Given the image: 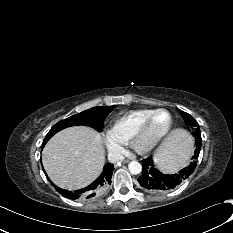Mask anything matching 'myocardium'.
<instances>
[{
	"instance_id": "obj_1",
	"label": "myocardium",
	"mask_w": 233,
	"mask_h": 233,
	"mask_svg": "<svg viewBox=\"0 0 233 233\" xmlns=\"http://www.w3.org/2000/svg\"><path fill=\"white\" fill-rule=\"evenodd\" d=\"M159 112H165L168 115V122H167L165 128L163 129V131L158 136H156L152 140H145V134H146V130L148 128V125H149L150 121L152 120V118L154 117V115H156ZM171 125H172V115L167 109L158 108V109L152 110L140 122L137 129L135 130V132L131 138V141H130L131 147L139 154H147V153L153 151L166 138V136L171 128Z\"/></svg>"
}]
</instances>
